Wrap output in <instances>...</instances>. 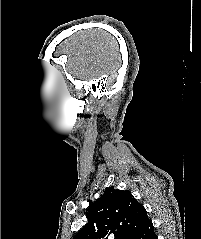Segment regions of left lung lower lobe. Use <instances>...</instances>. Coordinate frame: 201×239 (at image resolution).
Wrapping results in <instances>:
<instances>
[{"instance_id":"1","label":"left lung lower lobe","mask_w":201,"mask_h":239,"mask_svg":"<svg viewBox=\"0 0 201 239\" xmlns=\"http://www.w3.org/2000/svg\"><path fill=\"white\" fill-rule=\"evenodd\" d=\"M130 239H158L155 232L152 222L147 221L142 227H140Z\"/></svg>"}]
</instances>
